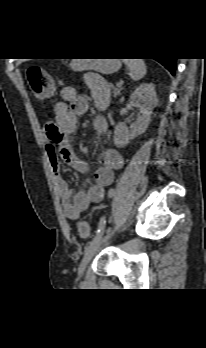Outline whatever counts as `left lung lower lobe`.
Masks as SVG:
<instances>
[{"instance_id":"obj_1","label":"left lung lower lobe","mask_w":206,"mask_h":348,"mask_svg":"<svg viewBox=\"0 0 206 348\" xmlns=\"http://www.w3.org/2000/svg\"><path fill=\"white\" fill-rule=\"evenodd\" d=\"M157 61L166 67L172 75H175L176 58L158 59Z\"/></svg>"}]
</instances>
